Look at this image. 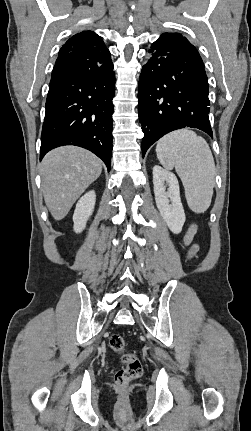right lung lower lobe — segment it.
Segmentation results:
<instances>
[{
  "mask_svg": "<svg viewBox=\"0 0 251 431\" xmlns=\"http://www.w3.org/2000/svg\"><path fill=\"white\" fill-rule=\"evenodd\" d=\"M114 95L108 49L60 51L46 100L40 160L56 147L76 145L96 154L110 171Z\"/></svg>",
  "mask_w": 251,
  "mask_h": 431,
  "instance_id": "obj_1",
  "label": "right lung lower lobe"
}]
</instances>
